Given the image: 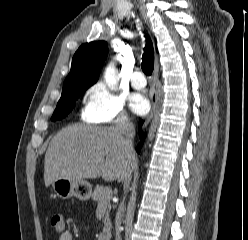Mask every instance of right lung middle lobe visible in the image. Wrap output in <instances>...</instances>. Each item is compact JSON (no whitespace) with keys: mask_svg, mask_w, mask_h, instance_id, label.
I'll return each instance as SVG.
<instances>
[{"mask_svg":"<svg viewBox=\"0 0 248 240\" xmlns=\"http://www.w3.org/2000/svg\"><path fill=\"white\" fill-rule=\"evenodd\" d=\"M88 87L69 85L63 87L61 98L51 118L52 121L61 120L73 109L76 100Z\"/></svg>","mask_w":248,"mask_h":240,"instance_id":"1","label":"right lung middle lobe"}]
</instances>
